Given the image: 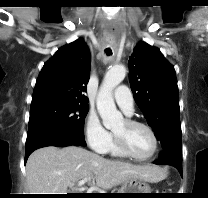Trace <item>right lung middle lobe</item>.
Masks as SVG:
<instances>
[{
  "instance_id": "right-lung-middle-lobe-1",
  "label": "right lung middle lobe",
  "mask_w": 208,
  "mask_h": 198,
  "mask_svg": "<svg viewBox=\"0 0 208 198\" xmlns=\"http://www.w3.org/2000/svg\"><path fill=\"white\" fill-rule=\"evenodd\" d=\"M88 104L60 101L31 107L28 134L47 129H64L84 138V119Z\"/></svg>"
}]
</instances>
